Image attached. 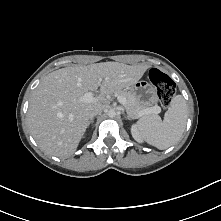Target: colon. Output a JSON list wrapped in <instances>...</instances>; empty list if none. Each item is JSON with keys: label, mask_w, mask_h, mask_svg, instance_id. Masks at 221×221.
Instances as JSON below:
<instances>
[{"label": "colon", "mask_w": 221, "mask_h": 221, "mask_svg": "<svg viewBox=\"0 0 221 221\" xmlns=\"http://www.w3.org/2000/svg\"><path fill=\"white\" fill-rule=\"evenodd\" d=\"M149 80L157 88L160 104L162 107L167 108L176 92L174 81L167 74L156 68L149 71Z\"/></svg>", "instance_id": "5ec220e1"}]
</instances>
